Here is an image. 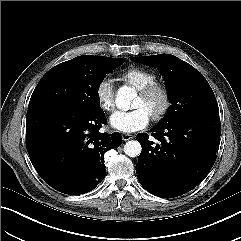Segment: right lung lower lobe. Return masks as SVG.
Returning <instances> with one entry per match:
<instances>
[{"label": "right lung lower lobe", "mask_w": 241, "mask_h": 241, "mask_svg": "<svg viewBox=\"0 0 241 241\" xmlns=\"http://www.w3.org/2000/svg\"><path fill=\"white\" fill-rule=\"evenodd\" d=\"M103 110L84 114L64 107L29 110L26 145L40 177L69 195L87 193L104 179V154L122 143L118 132L100 133Z\"/></svg>", "instance_id": "right-lung-lower-lobe-1"}]
</instances>
